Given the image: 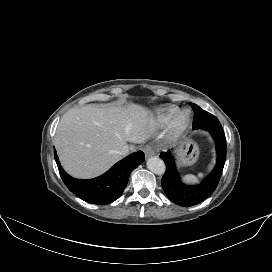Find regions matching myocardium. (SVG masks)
Returning a JSON list of instances; mask_svg holds the SVG:
<instances>
[{
	"label": "myocardium",
	"mask_w": 272,
	"mask_h": 272,
	"mask_svg": "<svg viewBox=\"0 0 272 272\" xmlns=\"http://www.w3.org/2000/svg\"><path fill=\"white\" fill-rule=\"evenodd\" d=\"M190 113L183 109L177 111L170 119L167 129V136L175 138L181 134L189 125Z\"/></svg>",
	"instance_id": "myocardium-1"
}]
</instances>
